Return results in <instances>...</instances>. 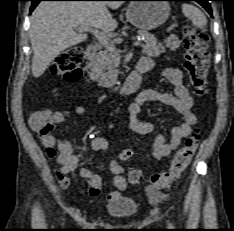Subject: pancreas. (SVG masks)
<instances>
[{
  "mask_svg": "<svg viewBox=\"0 0 234 231\" xmlns=\"http://www.w3.org/2000/svg\"><path fill=\"white\" fill-rule=\"evenodd\" d=\"M140 36H144V43L141 44L143 53L150 57H157L165 52V47L175 50L179 47L180 42L176 35H170L164 40V45L159 43L156 37L147 31H140ZM120 65V57L118 51L105 48L100 50L89 62L90 71L88 72L90 79L99 82V86L111 87L117 84V68Z\"/></svg>",
  "mask_w": 234,
  "mask_h": 231,
  "instance_id": "1",
  "label": "pancreas"
}]
</instances>
